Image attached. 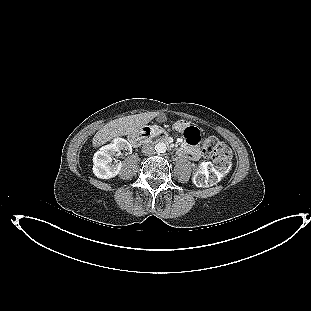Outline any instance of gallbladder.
<instances>
[{"mask_svg": "<svg viewBox=\"0 0 311 311\" xmlns=\"http://www.w3.org/2000/svg\"><path fill=\"white\" fill-rule=\"evenodd\" d=\"M158 120H159V121H165V120H166L165 114H160V115L158 116Z\"/></svg>", "mask_w": 311, "mask_h": 311, "instance_id": "obj_1", "label": "gallbladder"}]
</instances>
